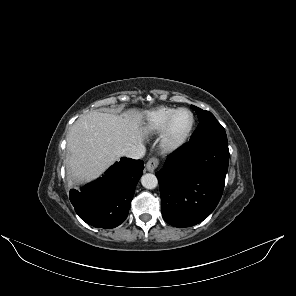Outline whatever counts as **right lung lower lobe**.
<instances>
[{
  "instance_id": "98d812e1",
  "label": "right lung lower lobe",
  "mask_w": 296,
  "mask_h": 296,
  "mask_svg": "<svg viewBox=\"0 0 296 296\" xmlns=\"http://www.w3.org/2000/svg\"><path fill=\"white\" fill-rule=\"evenodd\" d=\"M144 162L121 158L101 179L70 190V201L79 217L96 228H114L127 217Z\"/></svg>"
}]
</instances>
